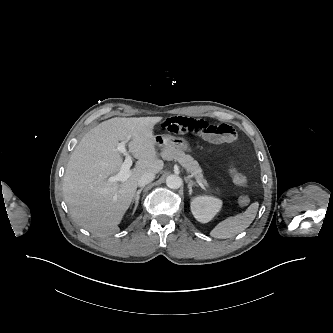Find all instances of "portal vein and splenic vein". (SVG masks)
I'll list each match as a JSON object with an SVG mask.
<instances>
[{
    "mask_svg": "<svg viewBox=\"0 0 333 333\" xmlns=\"http://www.w3.org/2000/svg\"><path fill=\"white\" fill-rule=\"evenodd\" d=\"M126 143L127 141H123L117 144V150L120 153H123L126 157L121 165L120 171L116 175L109 177V182H124L132 175V171L130 170V167L132 166V158L127 152L125 146Z\"/></svg>",
    "mask_w": 333,
    "mask_h": 333,
    "instance_id": "18ae733b",
    "label": "portal vein and splenic vein"
}]
</instances>
